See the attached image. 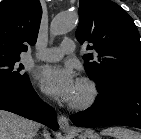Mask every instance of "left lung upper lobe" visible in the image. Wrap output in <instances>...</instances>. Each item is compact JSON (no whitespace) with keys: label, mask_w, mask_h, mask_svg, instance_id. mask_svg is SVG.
I'll return each mask as SVG.
<instances>
[{"label":"left lung upper lobe","mask_w":141,"mask_h":139,"mask_svg":"<svg viewBox=\"0 0 141 139\" xmlns=\"http://www.w3.org/2000/svg\"><path fill=\"white\" fill-rule=\"evenodd\" d=\"M76 38L91 43L84 68L100 92L121 83H141V42L133 19L110 0H80Z\"/></svg>","instance_id":"left-lung-upper-lobe-1"}]
</instances>
